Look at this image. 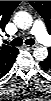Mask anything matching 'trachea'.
<instances>
[{
  "mask_svg": "<svg viewBox=\"0 0 51 101\" xmlns=\"http://www.w3.org/2000/svg\"><path fill=\"white\" fill-rule=\"evenodd\" d=\"M35 41L33 39H26L25 44L27 45H33ZM23 44V40L21 38H15L13 41H11L12 46H20Z\"/></svg>",
  "mask_w": 51,
  "mask_h": 101,
  "instance_id": "trachea-1",
  "label": "trachea"
}]
</instances>
